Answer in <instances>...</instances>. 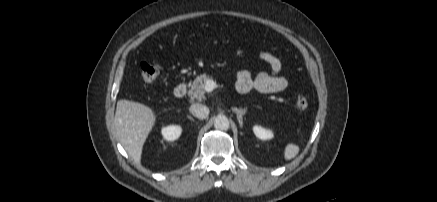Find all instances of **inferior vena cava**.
<instances>
[{
    "instance_id": "1",
    "label": "inferior vena cava",
    "mask_w": 437,
    "mask_h": 202,
    "mask_svg": "<svg viewBox=\"0 0 437 202\" xmlns=\"http://www.w3.org/2000/svg\"><path fill=\"white\" fill-rule=\"evenodd\" d=\"M189 111L198 119H205L208 117L209 108L200 103H194L190 106Z\"/></svg>"
}]
</instances>
